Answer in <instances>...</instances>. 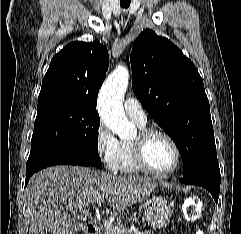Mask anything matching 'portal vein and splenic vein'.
I'll return each mask as SVG.
<instances>
[{"mask_svg":"<svg viewBox=\"0 0 241 234\" xmlns=\"http://www.w3.org/2000/svg\"><path fill=\"white\" fill-rule=\"evenodd\" d=\"M103 202H104V200H99V201H97V205L101 206V204ZM103 225H104V227H111V226H113L112 222H110L108 220H105V219L103 220ZM115 230L120 231L121 229L119 227L115 226Z\"/></svg>","mask_w":241,"mask_h":234,"instance_id":"obj_1","label":"portal vein and splenic vein"}]
</instances>
